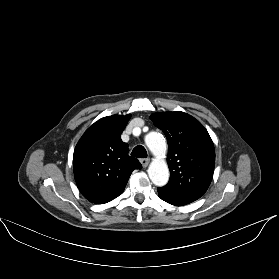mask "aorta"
Here are the masks:
<instances>
[{
  "instance_id": "1",
  "label": "aorta",
  "mask_w": 279,
  "mask_h": 279,
  "mask_svg": "<svg viewBox=\"0 0 279 279\" xmlns=\"http://www.w3.org/2000/svg\"><path fill=\"white\" fill-rule=\"evenodd\" d=\"M145 143L152 154L156 157L165 155L167 145L162 134L152 131L145 136ZM150 180L156 186H164L169 180L168 165L163 159H155L148 168Z\"/></svg>"
}]
</instances>
